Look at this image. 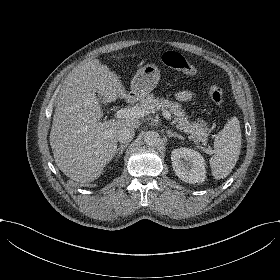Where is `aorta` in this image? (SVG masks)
I'll return each mask as SVG.
<instances>
[{
    "label": "aorta",
    "instance_id": "obj_1",
    "mask_svg": "<svg viewBox=\"0 0 280 280\" xmlns=\"http://www.w3.org/2000/svg\"><path fill=\"white\" fill-rule=\"evenodd\" d=\"M160 141L159 134L156 131H147L144 134V142L149 146H156Z\"/></svg>",
    "mask_w": 280,
    "mask_h": 280
}]
</instances>
